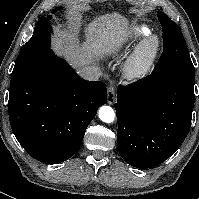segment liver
<instances>
[{
  "label": "liver",
  "mask_w": 199,
  "mask_h": 199,
  "mask_svg": "<svg viewBox=\"0 0 199 199\" xmlns=\"http://www.w3.org/2000/svg\"><path fill=\"white\" fill-rule=\"evenodd\" d=\"M128 22L116 13L102 15L88 24L83 45L73 36L56 40L53 50L64 56L75 68L88 65L96 52L113 53L127 35Z\"/></svg>",
  "instance_id": "6515ba94"
}]
</instances>
